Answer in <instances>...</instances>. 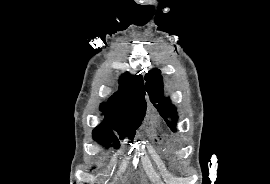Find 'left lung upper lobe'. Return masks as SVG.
<instances>
[{"label":"left lung upper lobe","instance_id":"left-lung-upper-lobe-1","mask_svg":"<svg viewBox=\"0 0 270 184\" xmlns=\"http://www.w3.org/2000/svg\"><path fill=\"white\" fill-rule=\"evenodd\" d=\"M147 78L148 80L146 82V91L149 94L151 102L160 112V115L166 119L170 128L175 132V122L177 120L176 108L171 104L169 98L164 97L161 71L158 69H153L146 74L145 79ZM167 118H171L173 122L168 121Z\"/></svg>","mask_w":270,"mask_h":184}]
</instances>
